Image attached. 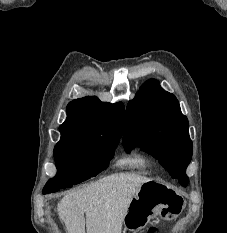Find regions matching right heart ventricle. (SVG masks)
<instances>
[{
	"label": "right heart ventricle",
	"instance_id": "obj_1",
	"mask_svg": "<svg viewBox=\"0 0 227 233\" xmlns=\"http://www.w3.org/2000/svg\"><path fill=\"white\" fill-rule=\"evenodd\" d=\"M120 164L131 168L145 169L151 166V160L144 154L135 152L131 155L123 157Z\"/></svg>",
	"mask_w": 227,
	"mask_h": 233
}]
</instances>
